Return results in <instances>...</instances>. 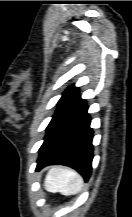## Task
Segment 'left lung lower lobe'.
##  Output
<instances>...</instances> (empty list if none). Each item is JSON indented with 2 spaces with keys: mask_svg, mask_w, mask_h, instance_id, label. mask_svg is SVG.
<instances>
[{
  "mask_svg": "<svg viewBox=\"0 0 132 217\" xmlns=\"http://www.w3.org/2000/svg\"><path fill=\"white\" fill-rule=\"evenodd\" d=\"M86 101L80 96L47 127L36 170L60 164L76 169L87 181L92 170L93 132Z\"/></svg>",
  "mask_w": 132,
  "mask_h": 217,
  "instance_id": "1",
  "label": "left lung lower lobe"
}]
</instances>
